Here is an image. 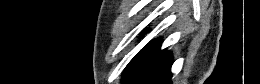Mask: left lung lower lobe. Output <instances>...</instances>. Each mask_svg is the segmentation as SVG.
I'll return each instance as SVG.
<instances>
[{"instance_id": "0a47b994", "label": "left lung lower lobe", "mask_w": 260, "mask_h": 84, "mask_svg": "<svg viewBox=\"0 0 260 84\" xmlns=\"http://www.w3.org/2000/svg\"><path fill=\"white\" fill-rule=\"evenodd\" d=\"M160 43V39L150 42L131 60L123 84H171V54L160 51Z\"/></svg>"}]
</instances>
